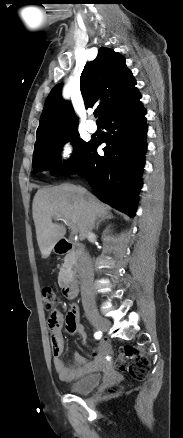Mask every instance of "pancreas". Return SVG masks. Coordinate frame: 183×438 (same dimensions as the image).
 <instances>
[{
    "instance_id": "obj_1",
    "label": "pancreas",
    "mask_w": 183,
    "mask_h": 438,
    "mask_svg": "<svg viewBox=\"0 0 183 438\" xmlns=\"http://www.w3.org/2000/svg\"><path fill=\"white\" fill-rule=\"evenodd\" d=\"M75 259L72 258V256L69 254L65 257L64 259V264L62 265V267L60 268V273H59V283H62L64 281V276L66 274V271L69 267L72 266L73 261Z\"/></svg>"
}]
</instances>
